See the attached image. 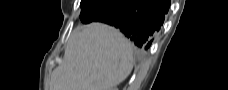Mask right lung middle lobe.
<instances>
[{"mask_svg": "<svg viewBox=\"0 0 228 90\" xmlns=\"http://www.w3.org/2000/svg\"><path fill=\"white\" fill-rule=\"evenodd\" d=\"M96 2H97V0H81L80 7L83 10L85 7L89 6L92 3H96Z\"/></svg>", "mask_w": 228, "mask_h": 90, "instance_id": "dd1d6c3e", "label": "right lung middle lobe"}]
</instances>
